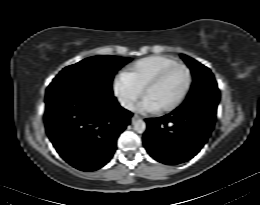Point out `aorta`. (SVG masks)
Wrapping results in <instances>:
<instances>
[{"mask_svg": "<svg viewBox=\"0 0 260 205\" xmlns=\"http://www.w3.org/2000/svg\"><path fill=\"white\" fill-rule=\"evenodd\" d=\"M133 126L134 130L138 133H143L146 130V123L141 119L134 121Z\"/></svg>", "mask_w": 260, "mask_h": 205, "instance_id": "762f6f07", "label": "aorta"}]
</instances>
